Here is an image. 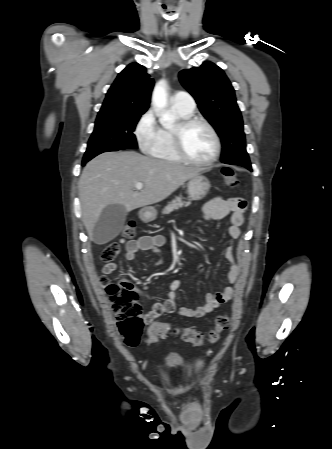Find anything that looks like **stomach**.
I'll use <instances>...</instances> for the list:
<instances>
[{
    "mask_svg": "<svg viewBox=\"0 0 332 449\" xmlns=\"http://www.w3.org/2000/svg\"><path fill=\"white\" fill-rule=\"evenodd\" d=\"M187 187L190 200L199 201L208 194L211 185L205 176L199 174L189 180ZM139 216L145 222L153 221L157 217V211L153 207H146L140 211Z\"/></svg>",
    "mask_w": 332,
    "mask_h": 449,
    "instance_id": "0dacf381",
    "label": "stomach"
}]
</instances>
